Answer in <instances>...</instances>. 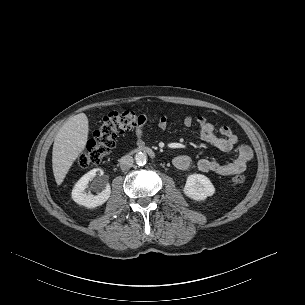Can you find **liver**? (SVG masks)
Segmentation results:
<instances>
[{"label":"liver","mask_w":305,"mask_h":305,"mask_svg":"<svg viewBox=\"0 0 305 305\" xmlns=\"http://www.w3.org/2000/svg\"><path fill=\"white\" fill-rule=\"evenodd\" d=\"M88 118L84 113L71 117L55 136L52 168L57 185H61L74 161L85 149L88 139Z\"/></svg>","instance_id":"obj_1"}]
</instances>
